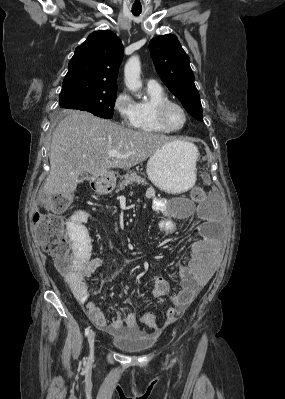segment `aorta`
<instances>
[{
    "instance_id": "obj_1",
    "label": "aorta",
    "mask_w": 285,
    "mask_h": 399,
    "mask_svg": "<svg viewBox=\"0 0 285 399\" xmlns=\"http://www.w3.org/2000/svg\"><path fill=\"white\" fill-rule=\"evenodd\" d=\"M141 64L138 56L129 58L124 67V80L131 92H137L142 87L140 80Z\"/></svg>"
}]
</instances>
